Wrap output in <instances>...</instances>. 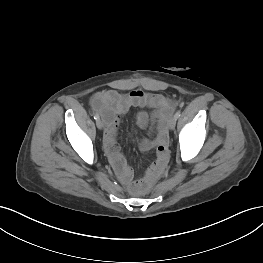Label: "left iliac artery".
Returning a JSON list of instances; mask_svg holds the SVG:
<instances>
[{
    "label": "left iliac artery",
    "instance_id": "obj_1",
    "mask_svg": "<svg viewBox=\"0 0 263 263\" xmlns=\"http://www.w3.org/2000/svg\"><path fill=\"white\" fill-rule=\"evenodd\" d=\"M180 115H181V112H180V111H177V112L175 113L176 119H178V118L180 117Z\"/></svg>",
    "mask_w": 263,
    "mask_h": 263
}]
</instances>
